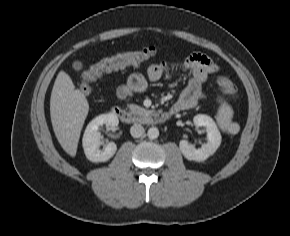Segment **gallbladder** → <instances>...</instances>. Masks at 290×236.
Returning <instances> with one entry per match:
<instances>
[{
    "instance_id": "obj_1",
    "label": "gallbladder",
    "mask_w": 290,
    "mask_h": 236,
    "mask_svg": "<svg viewBox=\"0 0 290 236\" xmlns=\"http://www.w3.org/2000/svg\"><path fill=\"white\" fill-rule=\"evenodd\" d=\"M72 66L76 71H80L82 69V63L80 61H74Z\"/></svg>"
}]
</instances>
